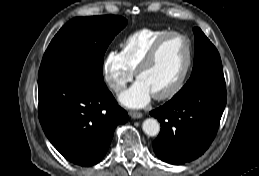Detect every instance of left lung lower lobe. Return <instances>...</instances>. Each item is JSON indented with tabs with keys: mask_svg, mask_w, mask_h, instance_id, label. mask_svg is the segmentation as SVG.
Segmentation results:
<instances>
[{
	"mask_svg": "<svg viewBox=\"0 0 259 176\" xmlns=\"http://www.w3.org/2000/svg\"><path fill=\"white\" fill-rule=\"evenodd\" d=\"M226 99V88L202 86L151 111L161 124L153 142L156 155L174 165L201 156L215 138Z\"/></svg>",
	"mask_w": 259,
	"mask_h": 176,
	"instance_id": "0a47b994",
	"label": "left lung lower lobe"
}]
</instances>
